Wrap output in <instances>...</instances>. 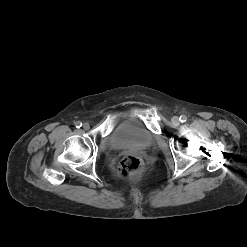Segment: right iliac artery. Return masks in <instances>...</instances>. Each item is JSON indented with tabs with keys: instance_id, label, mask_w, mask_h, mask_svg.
I'll return each instance as SVG.
<instances>
[{
	"instance_id": "right-iliac-artery-1",
	"label": "right iliac artery",
	"mask_w": 247,
	"mask_h": 247,
	"mask_svg": "<svg viewBox=\"0 0 247 247\" xmlns=\"http://www.w3.org/2000/svg\"><path fill=\"white\" fill-rule=\"evenodd\" d=\"M75 126L77 128H80L82 126V123L80 121L75 122Z\"/></svg>"
}]
</instances>
